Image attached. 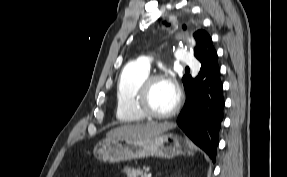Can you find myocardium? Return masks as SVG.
Instances as JSON below:
<instances>
[{
	"label": "myocardium",
	"instance_id": "f54148a6",
	"mask_svg": "<svg viewBox=\"0 0 287 177\" xmlns=\"http://www.w3.org/2000/svg\"><path fill=\"white\" fill-rule=\"evenodd\" d=\"M167 80L166 77L162 74H153L149 75L141 84L138 93L135 98V106L137 110L147 118L151 119H164L169 118L175 115L181 106V93L179 89L175 88L176 90V101L174 106L163 113H157L153 111L149 106V96L153 85L156 82Z\"/></svg>",
	"mask_w": 287,
	"mask_h": 177
}]
</instances>
